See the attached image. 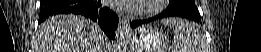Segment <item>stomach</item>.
Returning <instances> with one entry per match:
<instances>
[{
  "label": "stomach",
  "mask_w": 261,
  "mask_h": 52,
  "mask_svg": "<svg viewBox=\"0 0 261 52\" xmlns=\"http://www.w3.org/2000/svg\"><path fill=\"white\" fill-rule=\"evenodd\" d=\"M133 52H163V34L155 29L138 28L130 38Z\"/></svg>",
  "instance_id": "obj_1"
}]
</instances>
